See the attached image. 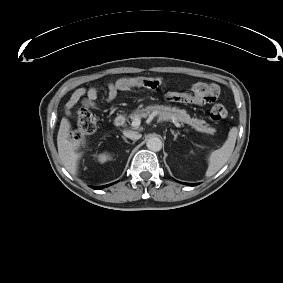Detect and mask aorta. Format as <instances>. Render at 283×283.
Returning a JSON list of instances; mask_svg holds the SVG:
<instances>
[{
    "instance_id": "obj_1",
    "label": "aorta",
    "mask_w": 283,
    "mask_h": 283,
    "mask_svg": "<svg viewBox=\"0 0 283 283\" xmlns=\"http://www.w3.org/2000/svg\"><path fill=\"white\" fill-rule=\"evenodd\" d=\"M146 146L149 150L157 152L162 148V141L157 136H151L147 139Z\"/></svg>"
}]
</instances>
